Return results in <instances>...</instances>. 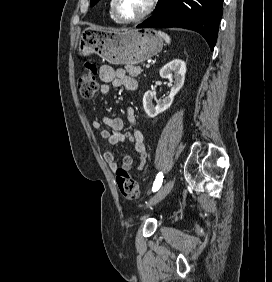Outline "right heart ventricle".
Instances as JSON below:
<instances>
[{"label":"right heart ventricle","instance_id":"e07e8e85","mask_svg":"<svg viewBox=\"0 0 272 282\" xmlns=\"http://www.w3.org/2000/svg\"><path fill=\"white\" fill-rule=\"evenodd\" d=\"M110 15L114 21L118 22V19L113 15L112 9H110Z\"/></svg>","mask_w":272,"mask_h":282}]
</instances>
